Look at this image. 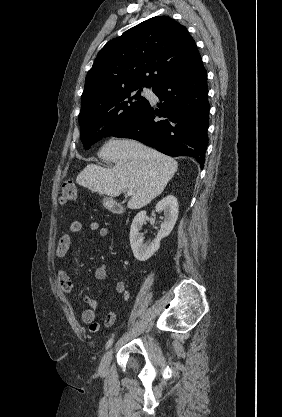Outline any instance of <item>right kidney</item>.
I'll list each match as a JSON object with an SVG mask.
<instances>
[{
  "mask_svg": "<svg viewBox=\"0 0 282 417\" xmlns=\"http://www.w3.org/2000/svg\"><path fill=\"white\" fill-rule=\"evenodd\" d=\"M156 211H163L165 219L164 223L161 225L160 231L157 233L156 239H154L153 243H150V245H143V239H145V237H143V233H139L145 221L146 211H140L132 221L129 239L133 255L137 261H148V259L158 251L161 239L168 237L171 231H173L179 213L176 196H174V194L164 196L162 200L157 202Z\"/></svg>",
  "mask_w": 282,
  "mask_h": 417,
  "instance_id": "1",
  "label": "right kidney"
}]
</instances>
